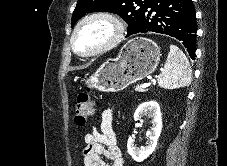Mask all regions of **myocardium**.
Segmentation results:
<instances>
[{"instance_id":"1","label":"myocardium","mask_w":227,"mask_h":166,"mask_svg":"<svg viewBox=\"0 0 227 166\" xmlns=\"http://www.w3.org/2000/svg\"><path fill=\"white\" fill-rule=\"evenodd\" d=\"M97 19H101L109 22L114 28V35L110 38V40H108L106 43H104L102 46L98 47L95 50H92L89 52H84L79 50L75 42L78 32L85 24H87L92 20H97ZM124 37H125V26L117 16L108 12H96V13L86 15L80 21L77 22L70 37V44L73 51L78 55L84 56V57H93V56L101 55L113 49L114 47H116L122 42Z\"/></svg>"}]
</instances>
